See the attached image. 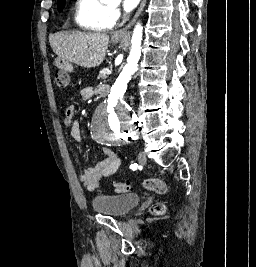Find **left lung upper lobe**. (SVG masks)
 I'll return each mask as SVG.
<instances>
[{"label": "left lung upper lobe", "mask_w": 256, "mask_h": 267, "mask_svg": "<svg viewBox=\"0 0 256 267\" xmlns=\"http://www.w3.org/2000/svg\"><path fill=\"white\" fill-rule=\"evenodd\" d=\"M65 0H58V10L61 11V9L64 7Z\"/></svg>", "instance_id": "1"}]
</instances>
